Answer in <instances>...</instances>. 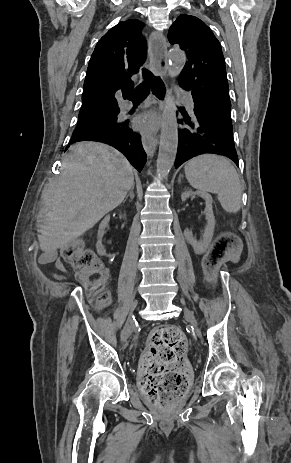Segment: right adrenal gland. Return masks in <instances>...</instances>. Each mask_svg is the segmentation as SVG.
Instances as JSON below:
<instances>
[{"label": "right adrenal gland", "mask_w": 291, "mask_h": 463, "mask_svg": "<svg viewBox=\"0 0 291 463\" xmlns=\"http://www.w3.org/2000/svg\"><path fill=\"white\" fill-rule=\"evenodd\" d=\"M134 185H132L131 189L129 190V193L126 195L123 203L127 200L128 197H130L131 200L134 199Z\"/></svg>", "instance_id": "right-adrenal-gland-1"}]
</instances>
